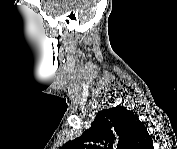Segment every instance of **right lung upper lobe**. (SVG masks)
Instances as JSON below:
<instances>
[{"instance_id":"obj_1","label":"right lung upper lobe","mask_w":177,"mask_h":149,"mask_svg":"<svg viewBox=\"0 0 177 149\" xmlns=\"http://www.w3.org/2000/svg\"><path fill=\"white\" fill-rule=\"evenodd\" d=\"M146 127L135 112L116 106L98 112L89 130L63 149H151Z\"/></svg>"}]
</instances>
